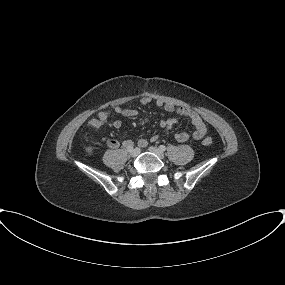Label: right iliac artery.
<instances>
[{
	"mask_svg": "<svg viewBox=\"0 0 285 285\" xmlns=\"http://www.w3.org/2000/svg\"><path fill=\"white\" fill-rule=\"evenodd\" d=\"M126 148L130 152L131 150H133V145L132 144L127 145Z\"/></svg>",
	"mask_w": 285,
	"mask_h": 285,
	"instance_id": "82829eb1",
	"label": "right iliac artery"
}]
</instances>
